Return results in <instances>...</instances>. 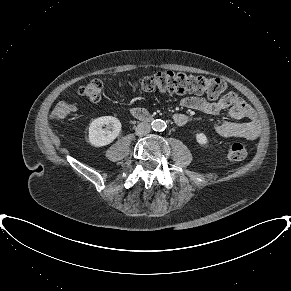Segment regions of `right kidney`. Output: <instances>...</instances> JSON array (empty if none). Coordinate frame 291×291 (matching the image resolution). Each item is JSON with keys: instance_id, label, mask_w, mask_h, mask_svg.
Returning <instances> with one entry per match:
<instances>
[{"instance_id": "ca27d5eb", "label": "right kidney", "mask_w": 291, "mask_h": 291, "mask_svg": "<svg viewBox=\"0 0 291 291\" xmlns=\"http://www.w3.org/2000/svg\"><path fill=\"white\" fill-rule=\"evenodd\" d=\"M107 125L106 129L102 127ZM121 131V122L112 116H103L93 120L89 126L88 140L95 147L112 143Z\"/></svg>"}]
</instances>
